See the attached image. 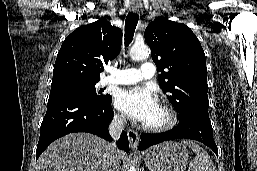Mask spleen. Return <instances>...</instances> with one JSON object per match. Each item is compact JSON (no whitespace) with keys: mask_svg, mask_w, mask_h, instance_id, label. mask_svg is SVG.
Returning <instances> with one entry per match:
<instances>
[{"mask_svg":"<svg viewBox=\"0 0 257 171\" xmlns=\"http://www.w3.org/2000/svg\"><path fill=\"white\" fill-rule=\"evenodd\" d=\"M196 154L189 164V171H216L208 153L193 141H184Z\"/></svg>","mask_w":257,"mask_h":171,"instance_id":"1","label":"spleen"}]
</instances>
